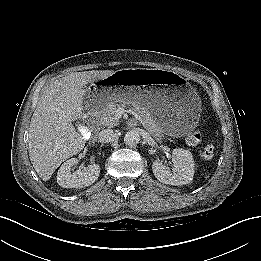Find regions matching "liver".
<instances>
[{
    "label": "liver",
    "mask_w": 261,
    "mask_h": 261,
    "mask_svg": "<svg viewBox=\"0 0 261 261\" xmlns=\"http://www.w3.org/2000/svg\"><path fill=\"white\" fill-rule=\"evenodd\" d=\"M114 72H74L44 89L31 118L28 141L31 163L43 181H48L62 162L84 148V134L76 131L72 122L83 115L85 85Z\"/></svg>",
    "instance_id": "6515ba94"
}]
</instances>
